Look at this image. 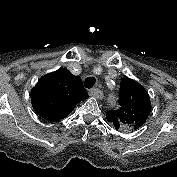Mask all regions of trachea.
<instances>
[{"mask_svg":"<svg viewBox=\"0 0 177 177\" xmlns=\"http://www.w3.org/2000/svg\"><path fill=\"white\" fill-rule=\"evenodd\" d=\"M96 79L94 77H88L85 81L86 88L90 89L94 86Z\"/></svg>","mask_w":177,"mask_h":177,"instance_id":"3493384b","label":"trachea"}]
</instances>
